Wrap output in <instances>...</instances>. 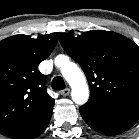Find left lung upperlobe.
<instances>
[{
  "instance_id": "5c2ea615",
  "label": "left lung upper lobe",
  "mask_w": 139,
  "mask_h": 139,
  "mask_svg": "<svg viewBox=\"0 0 139 139\" xmlns=\"http://www.w3.org/2000/svg\"><path fill=\"white\" fill-rule=\"evenodd\" d=\"M59 38L87 77L91 93L86 105L118 108L139 103V47L133 41L103 30L77 37L61 33Z\"/></svg>"
}]
</instances>
